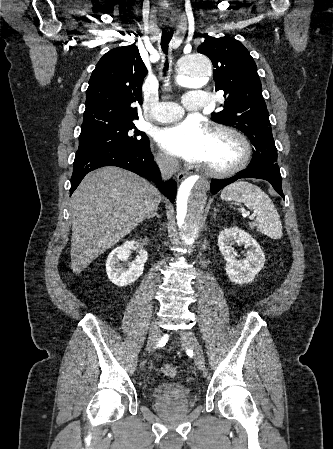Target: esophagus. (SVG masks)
<instances>
[{"mask_svg":"<svg viewBox=\"0 0 333 449\" xmlns=\"http://www.w3.org/2000/svg\"><path fill=\"white\" fill-rule=\"evenodd\" d=\"M184 178H185V174H184V173H179V174L177 175V180H178V181H182V180H184Z\"/></svg>","mask_w":333,"mask_h":449,"instance_id":"34e87169","label":"esophagus"}]
</instances>
